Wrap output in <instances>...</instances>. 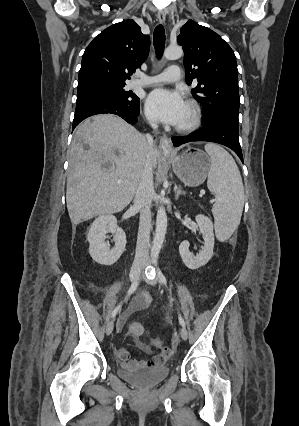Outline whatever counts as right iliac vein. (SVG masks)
<instances>
[{
	"label": "right iliac vein",
	"instance_id": "obj_1",
	"mask_svg": "<svg viewBox=\"0 0 299 426\" xmlns=\"http://www.w3.org/2000/svg\"><path fill=\"white\" fill-rule=\"evenodd\" d=\"M142 269H143V266H141V265L133 267L131 269L130 275H129L130 276V280L133 281V282L136 281V280H138V278H139V276L141 274ZM113 328H114V320H110L107 323V325H106V334L110 335L112 333V331H113Z\"/></svg>",
	"mask_w": 299,
	"mask_h": 426
}]
</instances>
